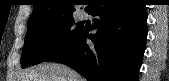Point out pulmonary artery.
I'll list each match as a JSON object with an SVG mask.
<instances>
[{"label":"pulmonary artery","mask_w":169,"mask_h":81,"mask_svg":"<svg viewBox=\"0 0 169 81\" xmlns=\"http://www.w3.org/2000/svg\"><path fill=\"white\" fill-rule=\"evenodd\" d=\"M86 16H87V15H86L85 12H81L79 17H80V19H85Z\"/></svg>","instance_id":"1"}]
</instances>
